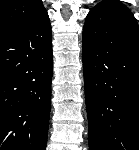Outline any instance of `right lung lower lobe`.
I'll return each instance as SVG.
<instances>
[{
	"instance_id": "obj_1",
	"label": "right lung lower lobe",
	"mask_w": 139,
	"mask_h": 150,
	"mask_svg": "<svg viewBox=\"0 0 139 150\" xmlns=\"http://www.w3.org/2000/svg\"><path fill=\"white\" fill-rule=\"evenodd\" d=\"M47 12L0 36V150H45L51 109Z\"/></svg>"
}]
</instances>
